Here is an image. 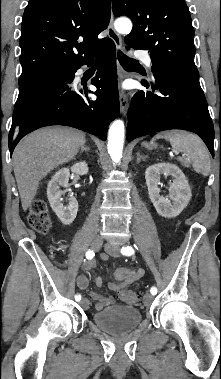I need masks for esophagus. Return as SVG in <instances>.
<instances>
[{
    "mask_svg": "<svg viewBox=\"0 0 221 379\" xmlns=\"http://www.w3.org/2000/svg\"><path fill=\"white\" fill-rule=\"evenodd\" d=\"M107 33L109 38H111L118 49H122V38L121 36L115 31L114 29V19L113 15L111 14L110 22L107 27ZM128 110V94L126 92L120 93V112L122 115H125Z\"/></svg>",
    "mask_w": 221,
    "mask_h": 379,
    "instance_id": "obj_1",
    "label": "esophagus"
}]
</instances>
